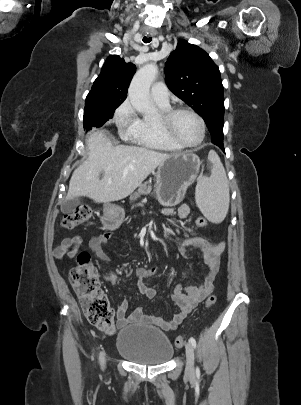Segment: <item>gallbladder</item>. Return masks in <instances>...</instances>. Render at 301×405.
I'll use <instances>...</instances> for the list:
<instances>
[{"mask_svg": "<svg viewBox=\"0 0 301 405\" xmlns=\"http://www.w3.org/2000/svg\"><path fill=\"white\" fill-rule=\"evenodd\" d=\"M80 203H81L80 197H73L61 204V211L62 213L65 214L72 213L76 210V208L80 205Z\"/></svg>", "mask_w": 301, "mask_h": 405, "instance_id": "obj_1", "label": "gallbladder"}]
</instances>
